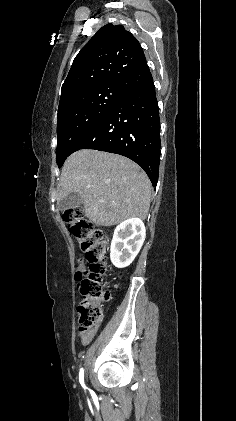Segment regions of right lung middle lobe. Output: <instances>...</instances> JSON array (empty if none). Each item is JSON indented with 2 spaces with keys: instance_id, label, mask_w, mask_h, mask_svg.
<instances>
[{
  "instance_id": "obj_1",
  "label": "right lung middle lobe",
  "mask_w": 236,
  "mask_h": 421,
  "mask_svg": "<svg viewBox=\"0 0 236 421\" xmlns=\"http://www.w3.org/2000/svg\"><path fill=\"white\" fill-rule=\"evenodd\" d=\"M123 97L119 86L80 93L59 105L57 165L60 168L80 138Z\"/></svg>"
}]
</instances>
